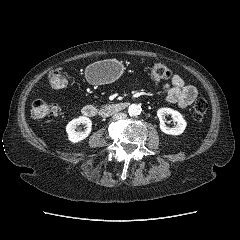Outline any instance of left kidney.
<instances>
[{
  "instance_id": "left-kidney-1",
  "label": "left kidney",
  "mask_w": 240,
  "mask_h": 240,
  "mask_svg": "<svg viewBox=\"0 0 240 240\" xmlns=\"http://www.w3.org/2000/svg\"><path fill=\"white\" fill-rule=\"evenodd\" d=\"M165 115H171L173 120L175 122H177L176 126H174L173 128H170L168 126H166L165 122H164V116ZM157 116L160 120V129L163 133L168 134V135H180L184 132L187 123L184 120L183 116L181 115V113H179L176 110H173L171 108H160L157 111Z\"/></svg>"
}]
</instances>
